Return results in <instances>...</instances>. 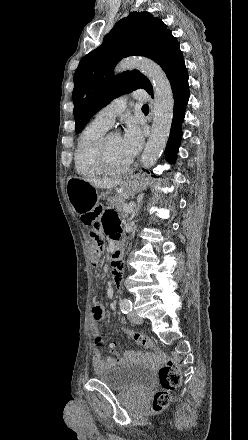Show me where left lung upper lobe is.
<instances>
[{
	"instance_id": "left-lung-upper-lobe-1",
	"label": "left lung upper lobe",
	"mask_w": 248,
	"mask_h": 440,
	"mask_svg": "<svg viewBox=\"0 0 248 440\" xmlns=\"http://www.w3.org/2000/svg\"><path fill=\"white\" fill-rule=\"evenodd\" d=\"M132 55L145 56L158 63L171 85L188 76L172 31L149 12H132L116 23L102 45L82 58L75 72V132L80 133L97 111L124 93L142 88L153 96L150 81L139 71L113 75L117 62Z\"/></svg>"
}]
</instances>
